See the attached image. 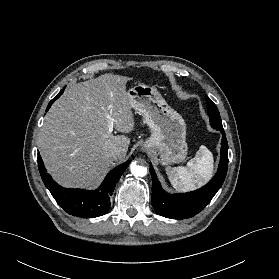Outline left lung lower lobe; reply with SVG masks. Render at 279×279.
<instances>
[{
  "instance_id": "0a47b994",
  "label": "left lung lower lobe",
  "mask_w": 279,
  "mask_h": 279,
  "mask_svg": "<svg viewBox=\"0 0 279 279\" xmlns=\"http://www.w3.org/2000/svg\"><path fill=\"white\" fill-rule=\"evenodd\" d=\"M222 133L221 158L218 171L213 179L204 187L182 194H168L158 181L153 167L150 166L152 176V205L155 211L167 218L184 219L198 214L211 201L222 186L228 169V143L224 129Z\"/></svg>"
}]
</instances>
